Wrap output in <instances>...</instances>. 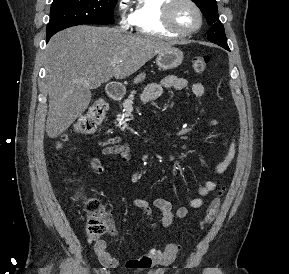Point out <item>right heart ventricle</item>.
Listing matches in <instances>:
<instances>
[{
	"mask_svg": "<svg viewBox=\"0 0 289 274\" xmlns=\"http://www.w3.org/2000/svg\"><path fill=\"white\" fill-rule=\"evenodd\" d=\"M168 0H135L130 21L134 29L141 34L175 37L162 22V11Z\"/></svg>",
	"mask_w": 289,
	"mask_h": 274,
	"instance_id": "e07e8e85",
	"label": "right heart ventricle"
}]
</instances>
